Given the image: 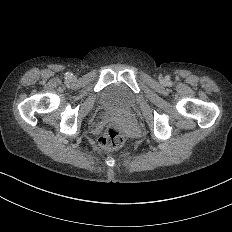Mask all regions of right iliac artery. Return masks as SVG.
<instances>
[{"mask_svg": "<svg viewBox=\"0 0 232 232\" xmlns=\"http://www.w3.org/2000/svg\"><path fill=\"white\" fill-rule=\"evenodd\" d=\"M72 73L71 72H67L66 74H65V77H66V79H70L71 77H72Z\"/></svg>", "mask_w": 232, "mask_h": 232, "instance_id": "1", "label": "right iliac artery"}]
</instances>
